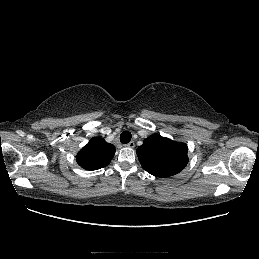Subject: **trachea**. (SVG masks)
I'll return each instance as SVG.
<instances>
[{
  "label": "trachea",
  "instance_id": "obj_1",
  "mask_svg": "<svg viewBox=\"0 0 259 259\" xmlns=\"http://www.w3.org/2000/svg\"><path fill=\"white\" fill-rule=\"evenodd\" d=\"M131 138H132V135H131V133L129 131H124L120 135V141L123 144L129 143Z\"/></svg>",
  "mask_w": 259,
  "mask_h": 259
}]
</instances>
